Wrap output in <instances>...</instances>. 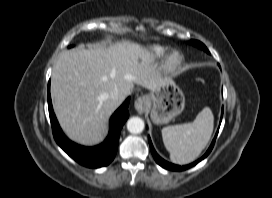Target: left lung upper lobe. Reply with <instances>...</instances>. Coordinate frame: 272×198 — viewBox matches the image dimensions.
<instances>
[{
	"mask_svg": "<svg viewBox=\"0 0 272 198\" xmlns=\"http://www.w3.org/2000/svg\"><path fill=\"white\" fill-rule=\"evenodd\" d=\"M190 43L193 44V45H195V46H197V47H199V48H201V49H203V50H205L207 53H209V51L206 48V46L203 43H201L200 41L191 40Z\"/></svg>",
	"mask_w": 272,
	"mask_h": 198,
	"instance_id": "1",
	"label": "left lung upper lobe"
}]
</instances>
